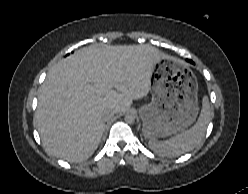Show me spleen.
<instances>
[{
    "instance_id": "3e777b00",
    "label": "spleen",
    "mask_w": 248,
    "mask_h": 194,
    "mask_svg": "<svg viewBox=\"0 0 248 194\" xmlns=\"http://www.w3.org/2000/svg\"><path fill=\"white\" fill-rule=\"evenodd\" d=\"M210 114L211 108L209 100L207 96H204L200 116L192 128L163 142L150 139L148 143L149 147L153 151L167 157L179 156L194 149L204 138L207 125L210 121Z\"/></svg>"
}]
</instances>
